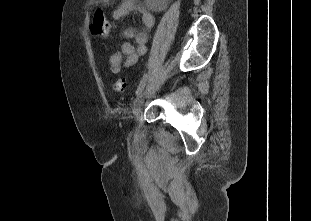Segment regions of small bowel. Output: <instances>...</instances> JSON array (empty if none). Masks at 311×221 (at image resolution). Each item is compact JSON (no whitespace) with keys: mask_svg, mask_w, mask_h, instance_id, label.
<instances>
[{"mask_svg":"<svg viewBox=\"0 0 311 221\" xmlns=\"http://www.w3.org/2000/svg\"><path fill=\"white\" fill-rule=\"evenodd\" d=\"M132 11H137L141 15L143 29L136 31L133 28H128L124 31V37L133 39L136 45L130 42H125L120 49L114 52L109 59L110 66L113 72H118L121 66H132L138 59L146 54V42L149 30L154 26L155 18L148 12L141 0H123L113 12L112 25L115 26L116 21L125 17Z\"/></svg>","mask_w":311,"mask_h":221,"instance_id":"obj_1","label":"small bowel"}]
</instances>
